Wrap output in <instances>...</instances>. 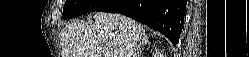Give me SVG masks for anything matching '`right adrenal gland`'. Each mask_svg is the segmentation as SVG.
<instances>
[{
  "label": "right adrenal gland",
  "mask_w": 249,
  "mask_h": 57,
  "mask_svg": "<svg viewBox=\"0 0 249 57\" xmlns=\"http://www.w3.org/2000/svg\"><path fill=\"white\" fill-rule=\"evenodd\" d=\"M146 44H149V40L147 39V37H145V39L143 40L142 45L144 46V45H146ZM141 52H142V47L139 48L138 57L140 56Z\"/></svg>",
  "instance_id": "2a0ac1e0"
}]
</instances>
